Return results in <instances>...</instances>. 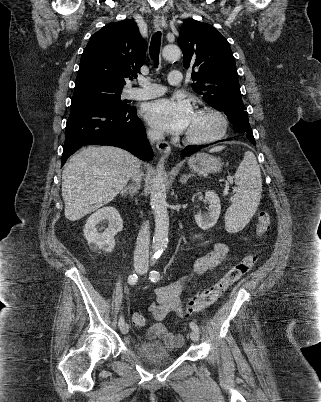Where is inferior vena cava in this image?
Returning a JSON list of instances; mask_svg holds the SVG:
<instances>
[{"mask_svg": "<svg viewBox=\"0 0 321 402\" xmlns=\"http://www.w3.org/2000/svg\"><path fill=\"white\" fill-rule=\"evenodd\" d=\"M148 139L150 143H154L156 140H159L163 137V134L158 132V131H148L147 133ZM141 173L139 170H135L134 173L132 174V179L136 183H140L141 181ZM149 243H150V231H149V223L145 222L143 226L141 227L138 237H137V242H136V247L134 251V265L138 267H143L144 269L148 268V263H149Z\"/></svg>", "mask_w": 321, "mask_h": 402, "instance_id": "602c4592", "label": "inferior vena cava"}]
</instances>
